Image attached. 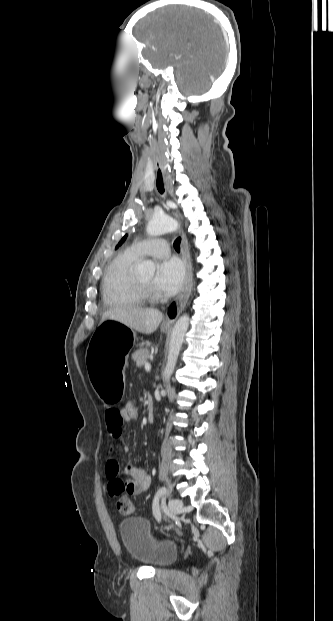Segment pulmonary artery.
<instances>
[{
	"label": "pulmonary artery",
	"instance_id": "pulmonary-artery-1",
	"mask_svg": "<svg viewBox=\"0 0 333 621\" xmlns=\"http://www.w3.org/2000/svg\"><path fill=\"white\" fill-rule=\"evenodd\" d=\"M128 251L137 258L145 256L165 257L169 253V247L165 240L147 239L134 243Z\"/></svg>",
	"mask_w": 333,
	"mask_h": 621
}]
</instances>
